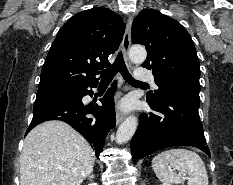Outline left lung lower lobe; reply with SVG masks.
Here are the masks:
<instances>
[{
    "mask_svg": "<svg viewBox=\"0 0 233 185\" xmlns=\"http://www.w3.org/2000/svg\"><path fill=\"white\" fill-rule=\"evenodd\" d=\"M200 88L179 87L160 104L148 101L156 113H143L131 140L132 159L142 158L170 146H194L209 157L198 108Z\"/></svg>",
    "mask_w": 233,
    "mask_h": 185,
    "instance_id": "left-lung-lower-lobe-1",
    "label": "left lung lower lobe"
}]
</instances>
